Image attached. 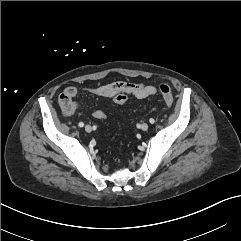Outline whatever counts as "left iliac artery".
I'll return each instance as SVG.
<instances>
[{
	"instance_id": "1",
	"label": "left iliac artery",
	"mask_w": 241,
	"mask_h": 241,
	"mask_svg": "<svg viewBox=\"0 0 241 241\" xmlns=\"http://www.w3.org/2000/svg\"><path fill=\"white\" fill-rule=\"evenodd\" d=\"M149 122H150L151 124H154V123H155V120H154L153 118H150V119H149Z\"/></svg>"
}]
</instances>
